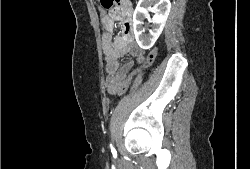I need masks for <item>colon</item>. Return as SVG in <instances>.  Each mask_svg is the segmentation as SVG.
Listing matches in <instances>:
<instances>
[{
    "label": "colon",
    "instance_id": "obj_1",
    "mask_svg": "<svg viewBox=\"0 0 250 169\" xmlns=\"http://www.w3.org/2000/svg\"><path fill=\"white\" fill-rule=\"evenodd\" d=\"M99 3H101L102 7L106 10L111 9L114 6L113 0H98ZM158 47L157 45L155 46ZM157 54H160V49H153L147 56V58L144 60L143 64H141V67H137V69H131V74L129 77H126L125 81H121V85L119 86V95L122 96L126 94L127 89L129 86H131L134 75L138 74V72H142V69H148V66H153V61L155 60Z\"/></svg>",
    "mask_w": 250,
    "mask_h": 169
}]
</instances>
